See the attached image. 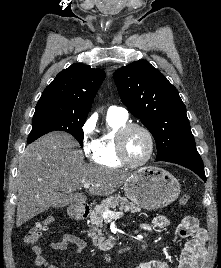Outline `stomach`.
I'll return each mask as SVG.
<instances>
[{"label":"stomach","mask_w":221,"mask_h":268,"mask_svg":"<svg viewBox=\"0 0 221 268\" xmlns=\"http://www.w3.org/2000/svg\"><path fill=\"white\" fill-rule=\"evenodd\" d=\"M123 187L128 199L148 210L166 207L177 199L181 191L180 183L172 174L154 166L134 172ZM76 212L77 208L73 210Z\"/></svg>","instance_id":"0dacf381"}]
</instances>
